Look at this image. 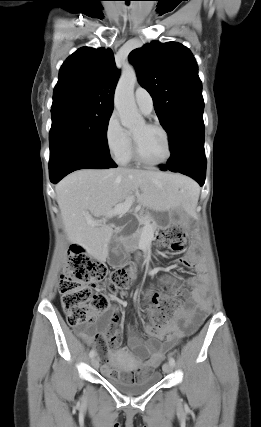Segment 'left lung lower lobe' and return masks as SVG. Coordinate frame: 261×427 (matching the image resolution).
I'll return each instance as SVG.
<instances>
[{
	"instance_id": "1",
	"label": "left lung lower lobe",
	"mask_w": 261,
	"mask_h": 427,
	"mask_svg": "<svg viewBox=\"0 0 261 427\" xmlns=\"http://www.w3.org/2000/svg\"><path fill=\"white\" fill-rule=\"evenodd\" d=\"M204 137L203 119L182 123L170 136L171 157L161 170L188 175L203 186L206 175Z\"/></svg>"
}]
</instances>
